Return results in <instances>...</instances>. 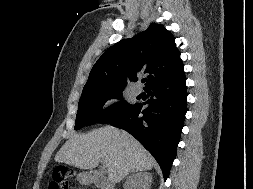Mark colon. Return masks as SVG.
<instances>
[{"label": "colon", "mask_w": 253, "mask_h": 189, "mask_svg": "<svg viewBox=\"0 0 253 189\" xmlns=\"http://www.w3.org/2000/svg\"><path fill=\"white\" fill-rule=\"evenodd\" d=\"M71 175L72 172L67 167H58L53 173L50 189H75L70 180Z\"/></svg>", "instance_id": "1"}]
</instances>
